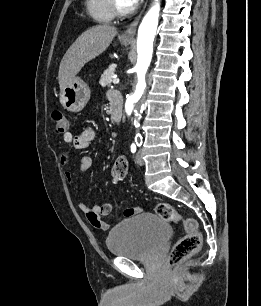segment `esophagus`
<instances>
[{"label": "esophagus", "instance_id": "34e87169", "mask_svg": "<svg viewBox=\"0 0 261 306\" xmlns=\"http://www.w3.org/2000/svg\"><path fill=\"white\" fill-rule=\"evenodd\" d=\"M142 13L135 19L133 20L128 27L126 28V30L121 34L120 38L122 40H126V41H132L134 39V35H135V31H136V27L139 23V20L141 18Z\"/></svg>", "mask_w": 261, "mask_h": 306}]
</instances>
